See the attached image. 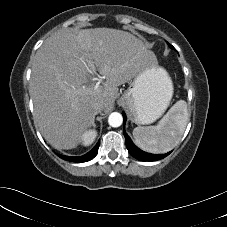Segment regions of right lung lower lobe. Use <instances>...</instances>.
<instances>
[{"mask_svg":"<svg viewBox=\"0 0 227 227\" xmlns=\"http://www.w3.org/2000/svg\"><path fill=\"white\" fill-rule=\"evenodd\" d=\"M98 148H99V142L95 145V147L90 152H88L87 154H85L83 156L71 157V156L59 155V157L64 160L71 161V162H78V163L86 162L96 156V154L98 153Z\"/></svg>","mask_w":227,"mask_h":227,"instance_id":"obj_1","label":"right lung lower lobe"}]
</instances>
